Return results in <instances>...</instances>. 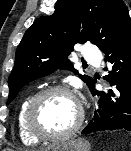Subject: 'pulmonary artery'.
<instances>
[{"mask_svg": "<svg viewBox=\"0 0 131 151\" xmlns=\"http://www.w3.org/2000/svg\"><path fill=\"white\" fill-rule=\"evenodd\" d=\"M82 56L87 62L91 63L92 65L97 66L100 62V54L98 50L92 45H84Z\"/></svg>", "mask_w": 131, "mask_h": 151, "instance_id": "obj_1", "label": "pulmonary artery"}]
</instances>
